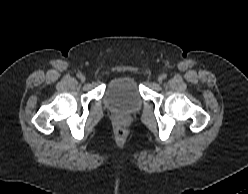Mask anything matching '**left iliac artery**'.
Returning a JSON list of instances; mask_svg holds the SVG:
<instances>
[{"instance_id": "44dca946", "label": "left iliac artery", "mask_w": 248, "mask_h": 194, "mask_svg": "<svg viewBox=\"0 0 248 194\" xmlns=\"http://www.w3.org/2000/svg\"><path fill=\"white\" fill-rule=\"evenodd\" d=\"M162 77L165 79V78H167V75L166 74H163Z\"/></svg>"}]
</instances>
